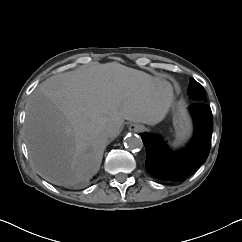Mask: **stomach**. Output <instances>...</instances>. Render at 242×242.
I'll return each mask as SVG.
<instances>
[{
  "label": "stomach",
  "instance_id": "0dacf381",
  "mask_svg": "<svg viewBox=\"0 0 242 242\" xmlns=\"http://www.w3.org/2000/svg\"><path fill=\"white\" fill-rule=\"evenodd\" d=\"M173 126L176 135V144H183L190 136L191 133V120L184 109V107L173 104Z\"/></svg>",
  "mask_w": 242,
  "mask_h": 242
}]
</instances>
